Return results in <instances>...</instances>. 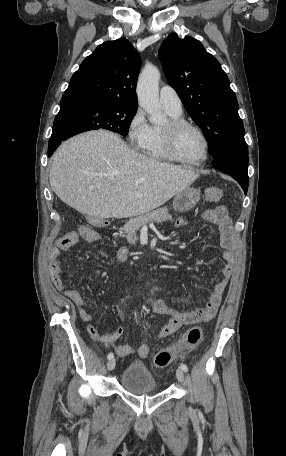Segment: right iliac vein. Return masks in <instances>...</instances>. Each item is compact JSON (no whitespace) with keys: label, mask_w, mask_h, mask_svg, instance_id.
<instances>
[{"label":"right iliac vein","mask_w":286,"mask_h":456,"mask_svg":"<svg viewBox=\"0 0 286 456\" xmlns=\"http://www.w3.org/2000/svg\"><path fill=\"white\" fill-rule=\"evenodd\" d=\"M115 365H116L115 359H111V360H109V362L107 363V369H108L109 371H112V370L115 368Z\"/></svg>","instance_id":"obj_1"}]
</instances>
